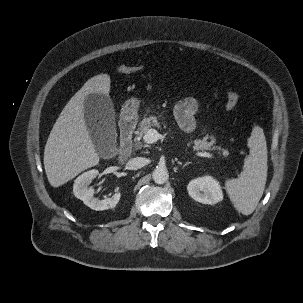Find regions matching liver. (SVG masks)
I'll return each instance as SVG.
<instances>
[{"label":"liver","mask_w":303,"mask_h":303,"mask_svg":"<svg viewBox=\"0 0 303 303\" xmlns=\"http://www.w3.org/2000/svg\"><path fill=\"white\" fill-rule=\"evenodd\" d=\"M110 84L108 74L90 78L60 113L44 150V167L51 186H62L99 164L100 158L84 119V102L90 94L108 96Z\"/></svg>","instance_id":"1"}]
</instances>
